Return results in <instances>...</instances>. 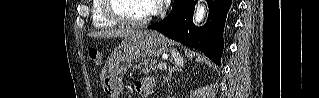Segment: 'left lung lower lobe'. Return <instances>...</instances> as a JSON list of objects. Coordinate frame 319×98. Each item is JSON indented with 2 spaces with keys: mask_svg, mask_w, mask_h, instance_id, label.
I'll return each mask as SVG.
<instances>
[{
  "mask_svg": "<svg viewBox=\"0 0 319 98\" xmlns=\"http://www.w3.org/2000/svg\"><path fill=\"white\" fill-rule=\"evenodd\" d=\"M197 0H174L173 9L162 21L148 26L168 38L197 48L212 61L220 64L223 52V30L232 0H207L209 17L203 27L192 22Z\"/></svg>",
  "mask_w": 319,
  "mask_h": 98,
  "instance_id": "left-lung-lower-lobe-1",
  "label": "left lung lower lobe"
}]
</instances>
